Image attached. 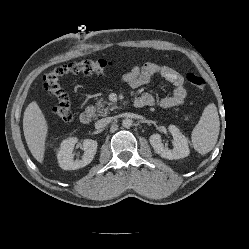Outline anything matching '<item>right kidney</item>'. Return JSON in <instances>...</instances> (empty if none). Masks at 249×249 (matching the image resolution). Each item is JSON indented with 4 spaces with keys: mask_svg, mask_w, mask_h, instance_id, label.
Returning <instances> with one entry per match:
<instances>
[{
    "mask_svg": "<svg viewBox=\"0 0 249 249\" xmlns=\"http://www.w3.org/2000/svg\"><path fill=\"white\" fill-rule=\"evenodd\" d=\"M77 142L78 139L76 137H70L68 139H65L61 143L59 151L57 153V159L59 166L62 169L76 170L85 167L93 160L98 146L97 141H94L92 139H85L83 141L84 154L82 156V159L74 160L72 153Z\"/></svg>",
    "mask_w": 249,
    "mask_h": 249,
    "instance_id": "right-kidney-1",
    "label": "right kidney"
}]
</instances>
